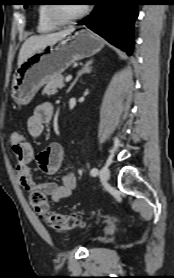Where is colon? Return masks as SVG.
<instances>
[{
    "label": "colon",
    "mask_w": 174,
    "mask_h": 278,
    "mask_svg": "<svg viewBox=\"0 0 174 278\" xmlns=\"http://www.w3.org/2000/svg\"><path fill=\"white\" fill-rule=\"evenodd\" d=\"M26 139L18 132H13L10 136L11 144L18 145ZM29 201L39 217L45 220L47 225L54 230H71L80 227L83 220L80 215H65L50 211L45 194L40 191L29 193Z\"/></svg>",
    "instance_id": "colon-1"
}]
</instances>
